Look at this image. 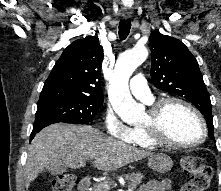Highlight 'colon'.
Masks as SVG:
<instances>
[{
    "label": "colon",
    "mask_w": 221,
    "mask_h": 191,
    "mask_svg": "<svg viewBox=\"0 0 221 191\" xmlns=\"http://www.w3.org/2000/svg\"><path fill=\"white\" fill-rule=\"evenodd\" d=\"M181 168L190 180L181 191H207L212 177V168L199 156H185L180 162ZM73 174L65 173L55 177L50 184V191H72L76 184Z\"/></svg>",
    "instance_id": "obj_1"
}]
</instances>
